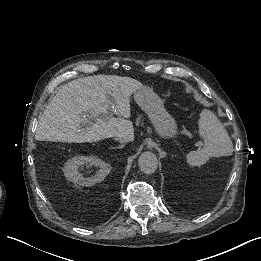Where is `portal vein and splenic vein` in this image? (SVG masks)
I'll list each match as a JSON object with an SVG mask.
<instances>
[{"mask_svg": "<svg viewBox=\"0 0 261 261\" xmlns=\"http://www.w3.org/2000/svg\"><path fill=\"white\" fill-rule=\"evenodd\" d=\"M110 118H111V115H105V116H103L101 119H102V120H109ZM85 125L91 126V125H95V123L92 122V121H88V123H86ZM182 133H183V134H188L189 132H188L187 130H183Z\"/></svg>", "mask_w": 261, "mask_h": 261, "instance_id": "1", "label": "portal vein and splenic vein"}]
</instances>
